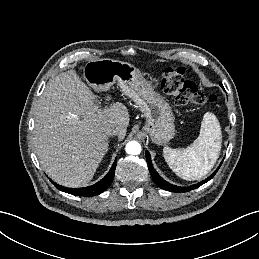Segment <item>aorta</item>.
<instances>
[{
  "label": "aorta",
  "instance_id": "obj_1",
  "mask_svg": "<svg viewBox=\"0 0 259 259\" xmlns=\"http://www.w3.org/2000/svg\"><path fill=\"white\" fill-rule=\"evenodd\" d=\"M125 150L130 155H138L141 152V145L136 141H130L126 144Z\"/></svg>",
  "mask_w": 259,
  "mask_h": 259
}]
</instances>
